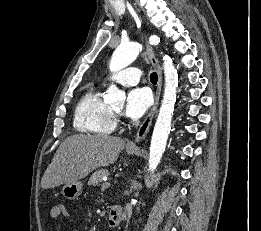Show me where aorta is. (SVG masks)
Returning a JSON list of instances; mask_svg holds the SVG:
<instances>
[{"instance_id": "1", "label": "aorta", "mask_w": 261, "mask_h": 231, "mask_svg": "<svg viewBox=\"0 0 261 231\" xmlns=\"http://www.w3.org/2000/svg\"><path fill=\"white\" fill-rule=\"evenodd\" d=\"M141 46L136 42L121 43L114 51L110 61V71H119L130 65L139 55ZM163 67L165 75L164 95L152 134L149 152V170L154 171L161 161L165 151L168 135L171 130V120L176 102V92L178 87V74L172 59L163 57ZM125 92L116 85H111L103 96L107 103L119 104L125 101Z\"/></svg>"}]
</instances>
